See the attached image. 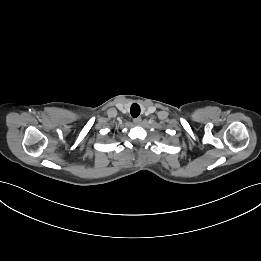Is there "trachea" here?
<instances>
[{"instance_id": "trachea-1", "label": "trachea", "mask_w": 261, "mask_h": 261, "mask_svg": "<svg viewBox=\"0 0 261 261\" xmlns=\"http://www.w3.org/2000/svg\"><path fill=\"white\" fill-rule=\"evenodd\" d=\"M131 116L136 118L140 114V106L136 103L132 104L131 109H130Z\"/></svg>"}]
</instances>
